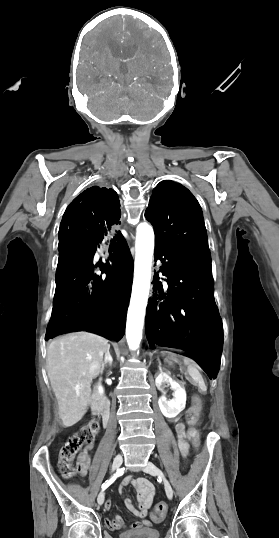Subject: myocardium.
Returning a JSON list of instances; mask_svg holds the SVG:
<instances>
[{"label":"myocardium","mask_w":279,"mask_h":538,"mask_svg":"<svg viewBox=\"0 0 279 538\" xmlns=\"http://www.w3.org/2000/svg\"><path fill=\"white\" fill-rule=\"evenodd\" d=\"M105 238H106V234H104V233L102 232V233L99 234V236H98V241H103Z\"/></svg>","instance_id":"myocardium-1"}]
</instances>
